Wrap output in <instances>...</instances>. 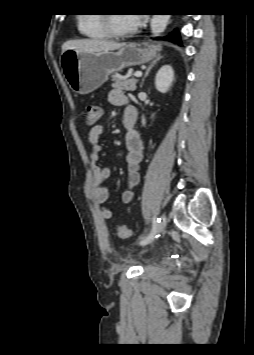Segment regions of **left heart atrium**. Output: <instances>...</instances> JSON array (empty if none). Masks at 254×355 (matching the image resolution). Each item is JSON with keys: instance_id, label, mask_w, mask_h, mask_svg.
Returning a JSON list of instances; mask_svg holds the SVG:
<instances>
[{"instance_id": "1", "label": "left heart atrium", "mask_w": 254, "mask_h": 355, "mask_svg": "<svg viewBox=\"0 0 254 355\" xmlns=\"http://www.w3.org/2000/svg\"><path fill=\"white\" fill-rule=\"evenodd\" d=\"M130 17H131L132 22L135 26H140L141 24L144 23V21L146 19V14L145 13H134Z\"/></svg>"}]
</instances>
